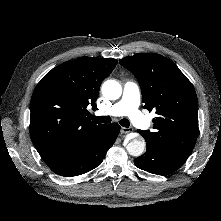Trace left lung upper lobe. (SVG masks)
I'll return each instance as SVG.
<instances>
[{
    "label": "left lung upper lobe",
    "mask_w": 221,
    "mask_h": 221,
    "mask_svg": "<svg viewBox=\"0 0 221 221\" xmlns=\"http://www.w3.org/2000/svg\"><path fill=\"white\" fill-rule=\"evenodd\" d=\"M119 62L137 78L144 108L157 114L152 131H139L146 144L190 155L198 136V101L188 78L156 53H137Z\"/></svg>",
    "instance_id": "obj_1"
}]
</instances>
